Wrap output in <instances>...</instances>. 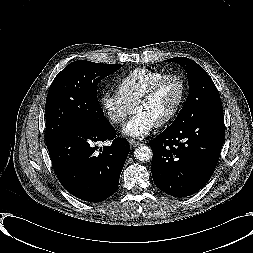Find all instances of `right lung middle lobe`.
Returning <instances> with one entry per match:
<instances>
[{"label":"right lung middle lobe","instance_id":"dd1d6c3e","mask_svg":"<svg viewBox=\"0 0 253 253\" xmlns=\"http://www.w3.org/2000/svg\"><path fill=\"white\" fill-rule=\"evenodd\" d=\"M121 67L78 60L58 73L46 99V144L74 125L108 122L97 99V85Z\"/></svg>","mask_w":253,"mask_h":253}]
</instances>
